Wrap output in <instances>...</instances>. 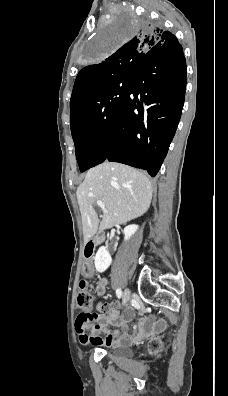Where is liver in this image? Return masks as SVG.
Segmentation results:
<instances>
[{"label":"liver","instance_id":"6515ba94","mask_svg":"<svg viewBox=\"0 0 228 396\" xmlns=\"http://www.w3.org/2000/svg\"><path fill=\"white\" fill-rule=\"evenodd\" d=\"M76 194L84 242L87 243L97 231L125 224L146 213L152 200V184L139 170L104 162L87 171ZM97 200L104 202L108 212L104 213L101 222L93 207Z\"/></svg>","mask_w":228,"mask_h":396}]
</instances>
